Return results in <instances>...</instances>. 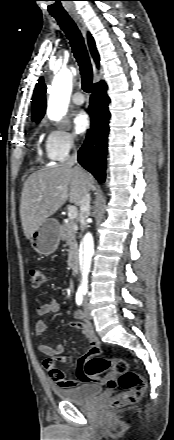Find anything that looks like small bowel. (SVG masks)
<instances>
[{
	"label": "small bowel",
	"instance_id": "1",
	"mask_svg": "<svg viewBox=\"0 0 174 440\" xmlns=\"http://www.w3.org/2000/svg\"><path fill=\"white\" fill-rule=\"evenodd\" d=\"M60 304L59 302L51 298L48 300L47 303L40 305L37 308V314L38 315H46L51 314L59 311ZM77 316L80 318L79 322H73L70 323L71 328L79 329L81 333L86 338L89 348L88 351L80 358L77 368H76V379L71 380L68 379L65 375V373L58 369L55 365V360H58L59 362H66L67 357L63 354L64 352V346L58 345L55 347H51L44 343L42 340H39L38 342V348L40 352H42L44 355L48 356L49 359L45 360L44 366L49 373L52 380L59 386L65 387V388H73L79 385H82L87 382H101L96 377H88L85 374L84 365L87 361V358L90 355H94L100 351V342L95 335L93 326L90 322L84 319L82 313L77 312ZM36 336L40 339L44 332L46 331V324L42 319H37L34 323Z\"/></svg>",
	"mask_w": 174,
	"mask_h": 440
}]
</instances>
